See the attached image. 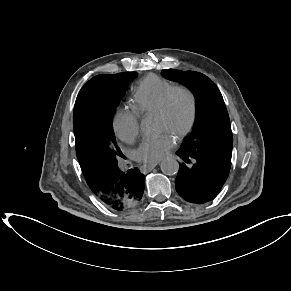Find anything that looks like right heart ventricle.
<instances>
[{"mask_svg":"<svg viewBox=\"0 0 291 291\" xmlns=\"http://www.w3.org/2000/svg\"><path fill=\"white\" fill-rule=\"evenodd\" d=\"M174 84L157 75H147L136 85L130 107L139 117L156 113Z\"/></svg>","mask_w":291,"mask_h":291,"instance_id":"e07e8e85","label":"right heart ventricle"}]
</instances>
